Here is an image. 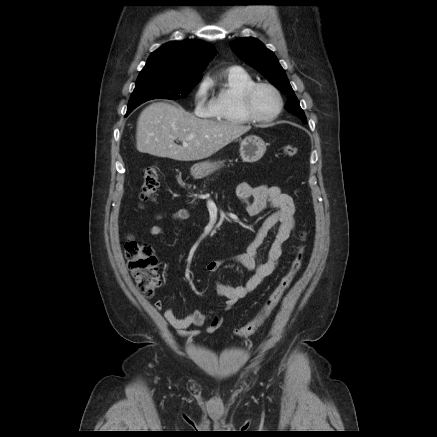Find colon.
Instances as JSON below:
<instances>
[{
	"mask_svg": "<svg viewBox=\"0 0 437 437\" xmlns=\"http://www.w3.org/2000/svg\"><path fill=\"white\" fill-rule=\"evenodd\" d=\"M283 154L294 157L297 148L292 145L283 147ZM159 187V169L157 165H149L144 169L140 190L142 203L150 202ZM302 239H305L303 234ZM125 257L129 270L139 290L147 297H151L161 284V272L158 261L151 247L141 243L134 236H129L124 245ZM304 259V246H299L288 272L282 277L278 286L272 291L256 315L246 325L236 329L234 334L240 338L252 335L269 317L273 309L279 304L284 294L300 271Z\"/></svg>",
	"mask_w": 437,
	"mask_h": 437,
	"instance_id": "obj_1",
	"label": "colon"
}]
</instances>
